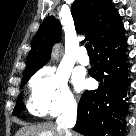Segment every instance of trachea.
<instances>
[{"label": "trachea", "instance_id": "trachea-1", "mask_svg": "<svg viewBox=\"0 0 136 136\" xmlns=\"http://www.w3.org/2000/svg\"><path fill=\"white\" fill-rule=\"evenodd\" d=\"M86 49H87L88 55H94L92 45L89 42L86 43Z\"/></svg>", "mask_w": 136, "mask_h": 136}]
</instances>
